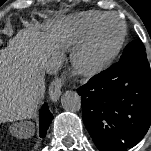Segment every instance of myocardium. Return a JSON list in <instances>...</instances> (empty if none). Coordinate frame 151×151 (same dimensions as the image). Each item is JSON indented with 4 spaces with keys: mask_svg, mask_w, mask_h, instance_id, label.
Instances as JSON below:
<instances>
[{
    "mask_svg": "<svg viewBox=\"0 0 151 151\" xmlns=\"http://www.w3.org/2000/svg\"><path fill=\"white\" fill-rule=\"evenodd\" d=\"M110 18H115L120 22L122 27L120 36L113 49L106 56L100 59H94L91 56L92 44L101 25ZM126 34V22L116 13H107L97 20L75 51L74 64L79 73L85 76H93L107 69L119 55L126 38Z\"/></svg>",
    "mask_w": 151,
    "mask_h": 151,
    "instance_id": "obj_1",
    "label": "myocardium"
}]
</instances>
